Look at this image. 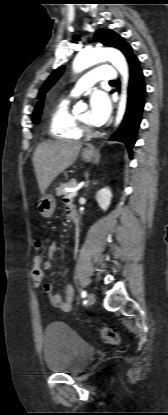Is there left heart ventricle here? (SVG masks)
<instances>
[{"instance_id": "b2bd125f", "label": "left heart ventricle", "mask_w": 168, "mask_h": 415, "mask_svg": "<svg viewBox=\"0 0 168 415\" xmlns=\"http://www.w3.org/2000/svg\"><path fill=\"white\" fill-rule=\"evenodd\" d=\"M78 117H79L81 120H83V121H85L86 123H88L89 125H92V124L89 122V110H88V109H85V110H83L81 113H79V114H78Z\"/></svg>"}]
</instances>
